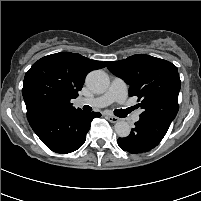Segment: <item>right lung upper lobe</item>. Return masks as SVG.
<instances>
[{"instance_id":"1","label":"right lung upper lobe","mask_w":201,"mask_h":201,"mask_svg":"<svg viewBox=\"0 0 201 201\" xmlns=\"http://www.w3.org/2000/svg\"><path fill=\"white\" fill-rule=\"evenodd\" d=\"M104 66V62L70 52L39 59L24 78L22 94L27 115L41 110L65 113L79 110L72 106L71 99L78 96L86 75Z\"/></svg>"}]
</instances>
